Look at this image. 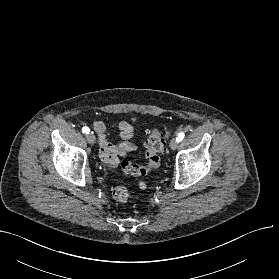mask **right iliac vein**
Returning <instances> with one entry per match:
<instances>
[{
	"instance_id": "1",
	"label": "right iliac vein",
	"mask_w": 279,
	"mask_h": 279,
	"mask_svg": "<svg viewBox=\"0 0 279 279\" xmlns=\"http://www.w3.org/2000/svg\"><path fill=\"white\" fill-rule=\"evenodd\" d=\"M86 139H87L88 143H90V144H94L96 141L95 135L92 132H90L86 135Z\"/></svg>"
}]
</instances>
